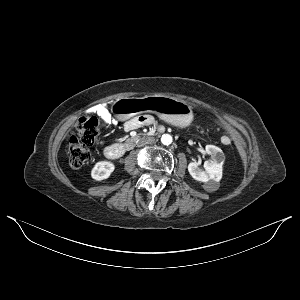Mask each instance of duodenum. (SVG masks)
<instances>
[{
    "label": "duodenum",
    "instance_id": "obj_1",
    "mask_svg": "<svg viewBox=\"0 0 300 300\" xmlns=\"http://www.w3.org/2000/svg\"><path fill=\"white\" fill-rule=\"evenodd\" d=\"M128 150V145L125 143H114L104 148V155L108 159H118L124 156Z\"/></svg>",
    "mask_w": 300,
    "mask_h": 300
}]
</instances>
